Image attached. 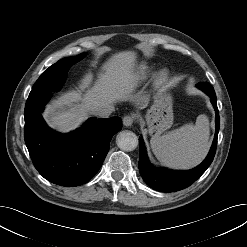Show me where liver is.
<instances>
[{"label":"liver","instance_id":"1","mask_svg":"<svg viewBox=\"0 0 247 247\" xmlns=\"http://www.w3.org/2000/svg\"><path fill=\"white\" fill-rule=\"evenodd\" d=\"M136 55L132 51L115 54L104 66L95 84L85 94L69 91L54 100L44 116L49 125L59 131L68 132L75 129L97 108L112 106L117 101L128 99L135 84L134 74ZM141 108L146 99L137 95ZM64 105H67L64 107Z\"/></svg>","mask_w":247,"mask_h":247}]
</instances>
